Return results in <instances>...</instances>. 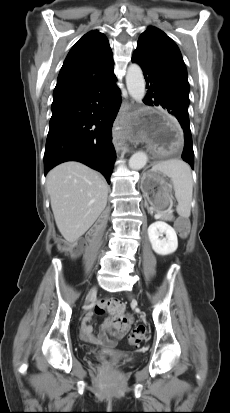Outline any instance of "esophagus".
Returning <instances> with one entry per match:
<instances>
[{
  "label": "esophagus",
  "mask_w": 230,
  "mask_h": 413,
  "mask_svg": "<svg viewBox=\"0 0 230 413\" xmlns=\"http://www.w3.org/2000/svg\"><path fill=\"white\" fill-rule=\"evenodd\" d=\"M116 150H117V152L120 150V148L119 147H116Z\"/></svg>",
  "instance_id": "34e87169"
}]
</instances>
